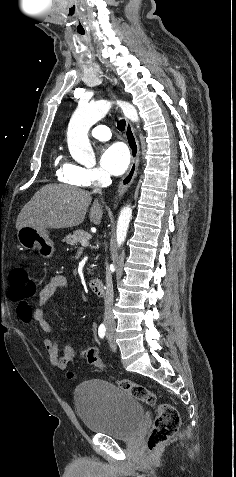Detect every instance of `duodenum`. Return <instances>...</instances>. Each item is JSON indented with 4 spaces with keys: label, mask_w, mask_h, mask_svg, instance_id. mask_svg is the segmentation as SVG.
I'll return each mask as SVG.
<instances>
[{
    "label": "duodenum",
    "mask_w": 236,
    "mask_h": 477,
    "mask_svg": "<svg viewBox=\"0 0 236 477\" xmlns=\"http://www.w3.org/2000/svg\"><path fill=\"white\" fill-rule=\"evenodd\" d=\"M89 285L94 294L98 296H103L105 294V285L102 279L92 278L89 282Z\"/></svg>",
    "instance_id": "410a0bca"
}]
</instances>
